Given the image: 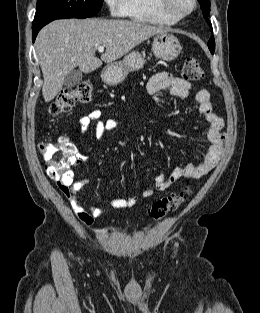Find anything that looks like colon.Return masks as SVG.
Listing matches in <instances>:
<instances>
[{"label":"colon","mask_w":260,"mask_h":313,"mask_svg":"<svg viewBox=\"0 0 260 313\" xmlns=\"http://www.w3.org/2000/svg\"><path fill=\"white\" fill-rule=\"evenodd\" d=\"M183 76L187 80L199 81L205 76L198 59L189 57L183 66ZM93 87L90 82H81L76 86L62 90L49 106L51 115H60L70 112L76 104H86L91 100ZM40 153L46 162V173L52 179L62 178L74 164L76 148L65 137L56 141L40 143ZM190 193L186 191L163 197L151 206L149 215L153 220H160L169 212L177 210Z\"/></svg>","instance_id":"1"}]
</instances>
